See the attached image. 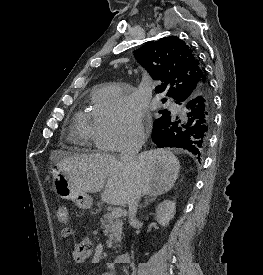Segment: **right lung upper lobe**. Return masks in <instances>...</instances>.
I'll use <instances>...</instances> for the list:
<instances>
[{
	"label": "right lung upper lobe",
	"mask_w": 263,
	"mask_h": 275,
	"mask_svg": "<svg viewBox=\"0 0 263 275\" xmlns=\"http://www.w3.org/2000/svg\"><path fill=\"white\" fill-rule=\"evenodd\" d=\"M134 54L151 77L162 82L156 86L155 92L161 93L169 86L167 96L176 101L192 96L208 83L198 58L178 37L169 36L149 42Z\"/></svg>",
	"instance_id": "obj_1"
}]
</instances>
